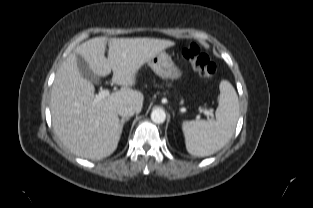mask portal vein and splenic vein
Listing matches in <instances>:
<instances>
[{
  "instance_id": "18ae733b",
  "label": "portal vein and splenic vein",
  "mask_w": 313,
  "mask_h": 208,
  "mask_svg": "<svg viewBox=\"0 0 313 208\" xmlns=\"http://www.w3.org/2000/svg\"><path fill=\"white\" fill-rule=\"evenodd\" d=\"M110 95V91L108 89H101L98 93V95L96 96V98L94 99V102L97 103L100 100L104 99L105 97ZM203 112L205 114H208V111L205 109L203 110Z\"/></svg>"
}]
</instances>
